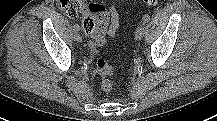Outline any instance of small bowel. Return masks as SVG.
I'll return each instance as SVG.
<instances>
[{
	"instance_id": "obj_1",
	"label": "small bowel",
	"mask_w": 217,
	"mask_h": 121,
	"mask_svg": "<svg viewBox=\"0 0 217 121\" xmlns=\"http://www.w3.org/2000/svg\"><path fill=\"white\" fill-rule=\"evenodd\" d=\"M110 18H108V23L105 31L101 34H88L89 40L88 45L92 50L103 46L109 38L115 36L116 31L119 27L121 12L114 6L109 7Z\"/></svg>"
}]
</instances>
